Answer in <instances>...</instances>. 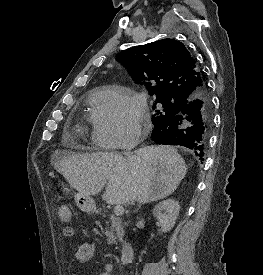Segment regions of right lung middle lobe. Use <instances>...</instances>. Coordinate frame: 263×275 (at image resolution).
Instances as JSON below:
<instances>
[{
	"label": "right lung middle lobe",
	"mask_w": 263,
	"mask_h": 275,
	"mask_svg": "<svg viewBox=\"0 0 263 275\" xmlns=\"http://www.w3.org/2000/svg\"><path fill=\"white\" fill-rule=\"evenodd\" d=\"M158 103V107L156 104ZM181 108V101L175 100L172 98H156L155 105L153 110L155 114L152 117V122L155 125L156 123L174 115Z\"/></svg>",
	"instance_id": "1"
}]
</instances>
